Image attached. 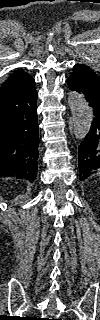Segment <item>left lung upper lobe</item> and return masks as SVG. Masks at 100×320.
I'll use <instances>...</instances> for the list:
<instances>
[{
  "label": "left lung upper lobe",
  "mask_w": 100,
  "mask_h": 320,
  "mask_svg": "<svg viewBox=\"0 0 100 320\" xmlns=\"http://www.w3.org/2000/svg\"><path fill=\"white\" fill-rule=\"evenodd\" d=\"M74 68L100 84V77L87 65L77 64L74 66Z\"/></svg>",
  "instance_id": "left-lung-upper-lobe-1"
}]
</instances>
